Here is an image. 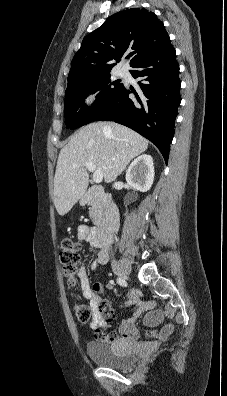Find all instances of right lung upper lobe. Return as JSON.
<instances>
[{
    "label": "right lung upper lobe",
    "instance_id": "1",
    "mask_svg": "<svg viewBox=\"0 0 227 396\" xmlns=\"http://www.w3.org/2000/svg\"><path fill=\"white\" fill-rule=\"evenodd\" d=\"M170 41L163 23L153 12L131 8L110 16L88 34L75 54L67 88L107 73L126 56L130 66L153 49Z\"/></svg>",
    "mask_w": 227,
    "mask_h": 396
}]
</instances>
